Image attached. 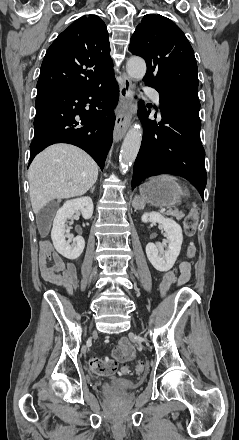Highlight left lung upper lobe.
Masks as SVG:
<instances>
[{
	"instance_id": "left-lung-upper-lobe-1",
	"label": "left lung upper lobe",
	"mask_w": 239,
	"mask_h": 440,
	"mask_svg": "<svg viewBox=\"0 0 239 440\" xmlns=\"http://www.w3.org/2000/svg\"><path fill=\"white\" fill-rule=\"evenodd\" d=\"M129 51L146 61L144 82L159 88H198L194 51L182 30L170 19L145 15L131 37Z\"/></svg>"
}]
</instances>
